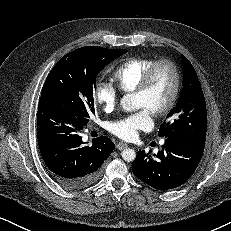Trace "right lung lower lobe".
Instances as JSON below:
<instances>
[{
    "mask_svg": "<svg viewBox=\"0 0 231 231\" xmlns=\"http://www.w3.org/2000/svg\"><path fill=\"white\" fill-rule=\"evenodd\" d=\"M84 127L59 102L39 100V149L52 178L66 189H82L95 182L101 175L104 161L115 148L105 136L96 138L92 146H85L79 135Z\"/></svg>",
    "mask_w": 231,
    "mask_h": 231,
    "instance_id": "98d812e1",
    "label": "right lung lower lobe"
}]
</instances>
